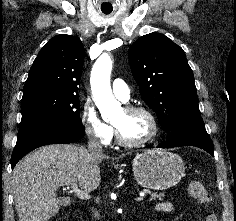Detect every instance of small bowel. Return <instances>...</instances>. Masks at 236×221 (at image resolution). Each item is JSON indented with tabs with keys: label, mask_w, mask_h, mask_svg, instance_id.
Returning <instances> with one entry per match:
<instances>
[{
	"label": "small bowel",
	"mask_w": 236,
	"mask_h": 221,
	"mask_svg": "<svg viewBox=\"0 0 236 221\" xmlns=\"http://www.w3.org/2000/svg\"><path fill=\"white\" fill-rule=\"evenodd\" d=\"M154 211L161 213H173L174 209L171 203L169 202H161L157 204L154 208Z\"/></svg>",
	"instance_id": "small-bowel-1"
}]
</instances>
